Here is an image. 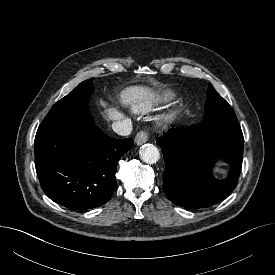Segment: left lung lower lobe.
<instances>
[{
	"label": "left lung lower lobe",
	"instance_id": "left-lung-lower-lobe-1",
	"mask_svg": "<svg viewBox=\"0 0 275 275\" xmlns=\"http://www.w3.org/2000/svg\"><path fill=\"white\" fill-rule=\"evenodd\" d=\"M165 159L163 190L177 206L199 209L224 200L237 186L243 160L241 128H207L206 122L173 128L157 139ZM220 158L230 165L217 180L211 167Z\"/></svg>",
	"mask_w": 275,
	"mask_h": 275
}]
</instances>
